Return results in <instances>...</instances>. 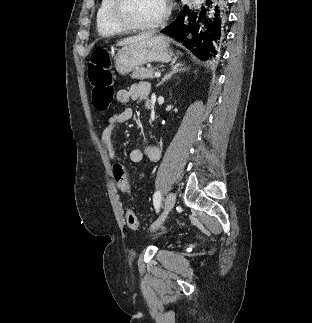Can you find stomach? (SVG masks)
<instances>
[{"mask_svg": "<svg viewBox=\"0 0 312 323\" xmlns=\"http://www.w3.org/2000/svg\"><path fill=\"white\" fill-rule=\"evenodd\" d=\"M172 56L170 38L160 34V36H152V38H146V40L126 44V46L117 50L114 62L118 74L126 76L143 64H151V62L167 64V62H171Z\"/></svg>", "mask_w": 312, "mask_h": 323, "instance_id": "obj_1", "label": "stomach"}]
</instances>
